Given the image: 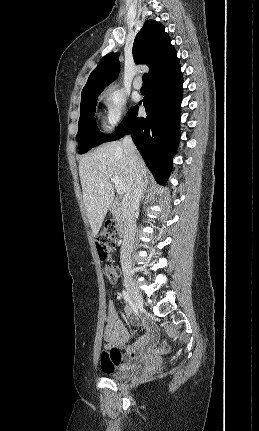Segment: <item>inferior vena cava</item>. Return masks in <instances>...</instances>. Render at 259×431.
Returning a JSON list of instances; mask_svg holds the SVG:
<instances>
[{"label": "inferior vena cava", "instance_id": "inferior-vena-cava-1", "mask_svg": "<svg viewBox=\"0 0 259 431\" xmlns=\"http://www.w3.org/2000/svg\"><path fill=\"white\" fill-rule=\"evenodd\" d=\"M124 153L127 159L129 171L132 175V185L126 193L123 202V213L125 218V226L123 233V242L120 251V259L122 266L129 265L130 256L133 249L134 238L136 233L135 211L139 207V203L143 194V175L140 169V158L133 143L132 137L126 135L122 141Z\"/></svg>", "mask_w": 259, "mask_h": 431}]
</instances>
